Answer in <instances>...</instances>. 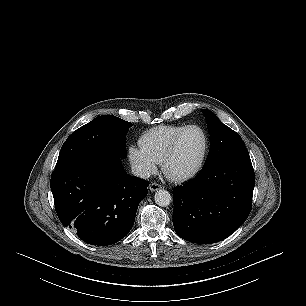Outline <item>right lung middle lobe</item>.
Returning <instances> with one entry per match:
<instances>
[{
    "mask_svg": "<svg viewBox=\"0 0 306 306\" xmlns=\"http://www.w3.org/2000/svg\"><path fill=\"white\" fill-rule=\"evenodd\" d=\"M131 126L113 115L95 118L67 138L55 168L82 157H126L125 138Z\"/></svg>",
    "mask_w": 306,
    "mask_h": 306,
    "instance_id": "right-lung-middle-lobe-1",
    "label": "right lung middle lobe"
}]
</instances>
